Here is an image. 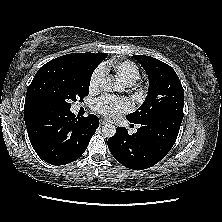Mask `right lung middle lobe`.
<instances>
[{
	"label": "right lung middle lobe",
	"mask_w": 222,
	"mask_h": 222,
	"mask_svg": "<svg viewBox=\"0 0 222 222\" xmlns=\"http://www.w3.org/2000/svg\"><path fill=\"white\" fill-rule=\"evenodd\" d=\"M98 64L93 59L59 57L47 62L27 90L31 101L43 113L70 110L72 101H82L89 94L91 76Z\"/></svg>",
	"instance_id": "right-lung-middle-lobe-1"
}]
</instances>
